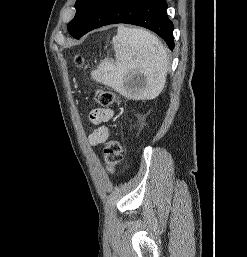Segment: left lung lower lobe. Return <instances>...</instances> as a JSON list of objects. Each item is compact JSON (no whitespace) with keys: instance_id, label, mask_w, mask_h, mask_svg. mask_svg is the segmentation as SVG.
<instances>
[{"instance_id":"obj_1","label":"left lung lower lobe","mask_w":247,"mask_h":257,"mask_svg":"<svg viewBox=\"0 0 247 257\" xmlns=\"http://www.w3.org/2000/svg\"><path fill=\"white\" fill-rule=\"evenodd\" d=\"M166 9L165 0H97L73 37L80 39L87 32L104 25L127 23L154 31L173 49V23Z\"/></svg>"}]
</instances>
